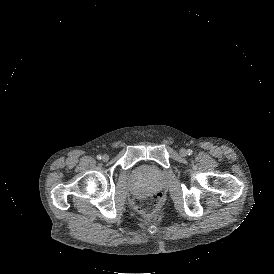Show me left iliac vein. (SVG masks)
Segmentation results:
<instances>
[{"label": "left iliac vein", "instance_id": "4c4485c4", "mask_svg": "<svg viewBox=\"0 0 274 274\" xmlns=\"http://www.w3.org/2000/svg\"><path fill=\"white\" fill-rule=\"evenodd\" d=\"M180 154H181L182 156H186L188 153H187V150H186V149L182 148V149L180 150Z\"/></svg>", "mask_w": 274, "mask_h": 274}]
</instances>
